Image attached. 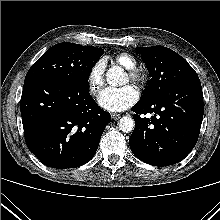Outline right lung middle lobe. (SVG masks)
Wrapping results in <instances>:
<instances>
[{"mask_svg":"<svg viewBox=\"0 0 220 220\" xmlns=\"http://www.w3.org/2000/svg\"><path fill=\"white\" fill-rule=\"evenodd\" d=\"M103 49L73 43H58L49 48L29 69L25 82L34 79L65 80L88 85L91 69Z\"/></svg>","mask_w":220,"mask_h":220,"instance_id":"1","label":"right lung middle lobe"}]
</instances>
